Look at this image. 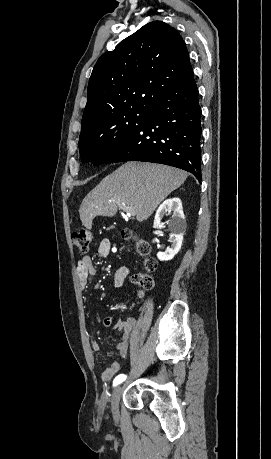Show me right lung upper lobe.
Returning <instances> with one entry per match:
<instances>
[{
    "mask_svg": "<svg viewBox=\"0 0 271 459\" xmlns=\"http://www.w3.org/2000/svg\"><path fill=\"white\" fill-rule=\"evenodd\" d=\"M193 76L178 31L162 21L150 22L98 59L89 80L82 123L141 105L153 106L159 97Z\"/></svg>",
    "mask_w": 271,
    "mask_h": 459,
    "instance_id": "1",
    "label": "right lung upper lobe"
}]
</instances>
